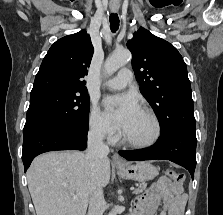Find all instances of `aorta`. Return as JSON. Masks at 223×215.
Listing matches in <instances>:
<instances>
[{"mask_svg":"<svg viewBox=\"0 0 223 215\" xmlns=\"http://www.w3.org/2000/svg\"><path fill=\"white\" fill-rule=\"evenodd\" d=\"M131 62V52L129 50H115L109 58H107L103 72L106 76H112L119 68ZM108 215H116L115 211H110Z\"/></svg>","mask_w":223,"mask_h":215,"instance_id":"obj_1","label":"aorta"}]
</instances>
